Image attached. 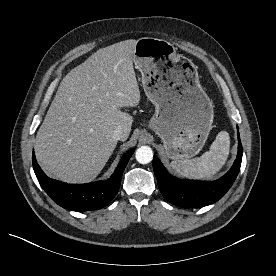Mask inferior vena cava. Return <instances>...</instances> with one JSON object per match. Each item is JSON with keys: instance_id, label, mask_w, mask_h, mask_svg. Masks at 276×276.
Masks as SVG:
<instances>
[{"instance_id": "inferior-vena-cava-1", "label": "inferior vena cava", "mask_w": 276, "mask_h": 276, "mask_svg": "<svg viewBox=\"0 0 276 276\" xmlns=\"http://www.w3.org/2000/svg\"><path fill=\"white\" fill-rule=\"evenodd\" d=\"M125 138H126V133L123 127L118 126L113 132V139L118 141V140H124Z\"/></svg>"}]
</instances>
